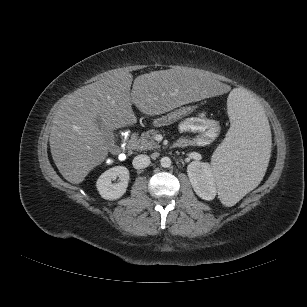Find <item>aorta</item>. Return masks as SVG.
<instances>
[{
  "instance_id": "obj_1",
  "label": "aorta",
  "mask_w": 307,
  "mask_h": 307,
  "mask_svg": "<svg viewBox=\"0 0 307 307\" xmlns=\"http://www.w3.org/2000/svg\"><path fill=\"white\" fill-rule=\"evenodd\" d=\"M171 163H172V161H171V159H170L169 157H163V158H161V160H160V164H161V166L164 167V168L170 167V166H171Z\"/></svg>"
}]
</instances>
